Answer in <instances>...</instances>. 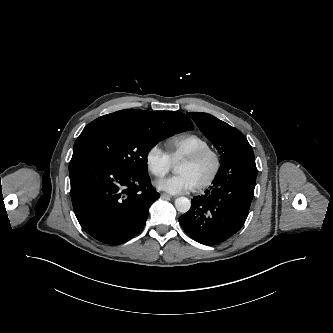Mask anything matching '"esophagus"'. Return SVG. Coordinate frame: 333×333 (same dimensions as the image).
I'll list each match as a JSON object with an SVG mask.
<instances>
[{"mask_svg": "<svg viewBox=\"0 0 333 333\" xmlns=\"http://www.w3.org/2000/svg\"><path fill=\"white\" fill-rule=\"evenodd\" d=\"M161 198H163V199H170L171 196L168 195V194H166V193H162V194H161Z\"/></svg>", "mask_w": 333, "mask_h": 333, "instance_id": "obj_1", "label": "esophagus"}]
</instances>
